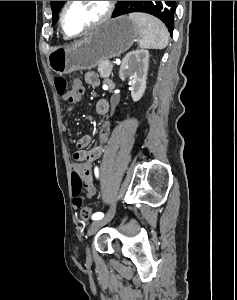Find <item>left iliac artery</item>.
<instances>
[{
    "label": "left iliac artery",
    "instance_id": "obj_1",
    "mask_svg": "<svg viewBox=\"0 0 237 300\" xmlns=\"http://www.w3.org/2000/svg\"><path fill=\"white\" fill-rule=\"evenodd\" d=\"M95 175H96V177H98V175H99L97 167L95 168ZM103 216H104V214L102 212H97V213L93 214L92 219L93 220H100V219L103 218Z\"/></svg>",
    "mask_w": 237,
    "mask_h": 300
}]
</instances>
